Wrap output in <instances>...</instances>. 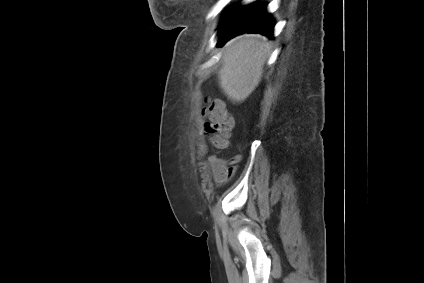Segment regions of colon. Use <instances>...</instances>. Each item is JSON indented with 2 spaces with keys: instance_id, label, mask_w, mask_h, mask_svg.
I'll list each match as a JSON object with an SVG mask.
<instances>
[{
  "instance_id": "colon-1",
  "label": "colon",
  "mask_w": 424,
  "mask_h": 283,
  "mask_svg": "<svg viewBox=\"0 0 424 283\" xmlns=\"http://www.w3.org/2000/svg\"><path fill=\"white\" fill-rule=\"evenodd\" d=\"M203 114L210 120L204 130L205 137L217 148L227 147L232 118L224 105L221 102L210 101L204 108Z\"/></svg>"
}]
</instances>
